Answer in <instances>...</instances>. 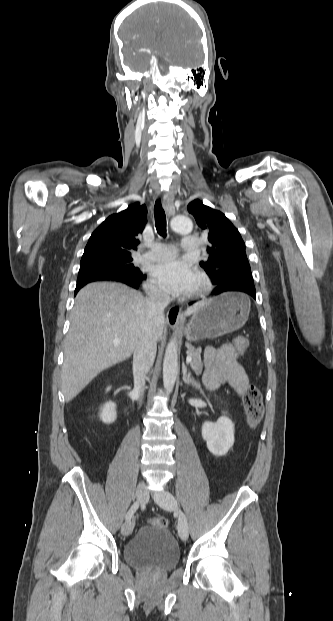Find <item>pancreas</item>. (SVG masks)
<instances>
[{
	"mask_svg": "<svg viewBox=\"0 0 333 621\" xmlns=\"http://www.w3.org/2000/svg\"><path fill=\"white\" fill-rule=\"evenodd\" d=\"M187 347V355L192 357V362L190 363L191 368L197 373L200 374L203 369V362L201 360V348H195L190 344H186Z\"/></svg>",
	"mask_w": 333,
	"mask_h": 621,
	"instance_id": "cf45deb5",
	"label": "pancreas"
}]
</instances>
